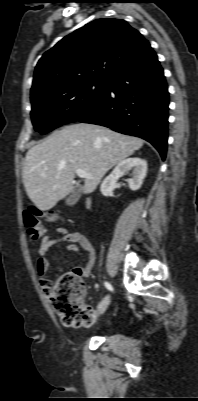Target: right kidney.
Masks as SVG:
<instances>
[{
    "label": "right kidney",
    "mask_w": 198,
    "mask_h": 401,
    "mask_svg": "<svg viewBox=\"0 0 198 401\" xmlns=\"http://www.w3.org/2000/svg\"><path fill=\"white\" fill-rule=\"evenodd\" d=\"M129 170H132V178L127 180L129 187L133 191L138 190L146 176L147 162L139 157H134L118 163L111 174L102 182L100 187L101 193L104 196H113L117 180Z\"/></svg>",
    "instance_id": "right-kidney-1"
}]
</instances>
